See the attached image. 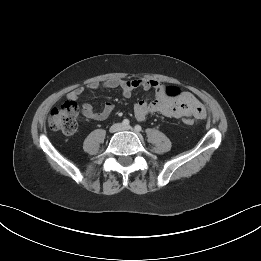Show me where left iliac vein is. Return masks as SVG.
Masks as SVG:
<instances>
[{
	"label": "left iliac vein",
	"instance_id": "obj_1",
	"mask_svg": "<svg viewBox=\"0 0 261 261\" xmlns=\"http://www.w3.org/2000/svg\"><path fill=\"white\" fill-rule=\"evenodd\" d=\"M121 130H125V131L132 130V127L131 126H123L121 128Z\"/></svg>",
	"mask_w": 261,
	"mask_h": 261
}]
</instances>
